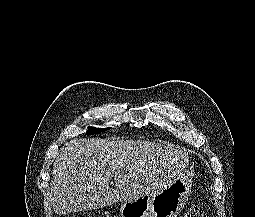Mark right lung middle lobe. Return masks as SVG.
<instances>
[{
  "label": "right lung middle lobe",
  "instance_id": "obj_1",
  "mask_svg": "<svg viewBox=\"0 0 255 217\" xmlns=\"http://www.w3.org/2000/svg\"><path fill=\"white\" fill-rule=\"evenodd\" d=\"M110 128H101V129H96L95 127H90L87 131V134H96V133H100L103 131H106Z\"/></svg>",
  "mask_w": 255,
  "mask_h": 217
}]
</instances>
